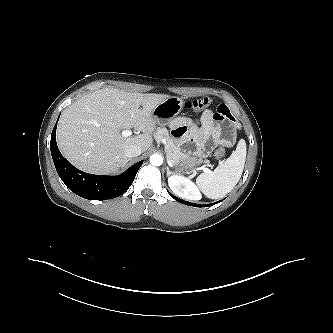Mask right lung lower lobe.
<instances>
[{
  "label": "right lung lower lobe",
  "instance_id": "98d812e1",
  "mask_svg": "<svg viewBox=\"0 0 333 333\" xmlns=\"http://www.w3.org/2000/svg\"><path fill=\"white\" fill-rule=\"evenodd\" d=\"M56 126L51 134V154L58 175L72 192L89 200H106L118 197L128 190L143 161L134 164L118 176L82 172L61 155L56 143Z\"/></svg>",
  "mask_w": 333,
  "mask_h": 333
}]
</instances>
